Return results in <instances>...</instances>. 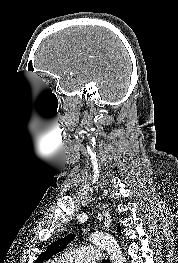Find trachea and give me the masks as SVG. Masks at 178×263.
<instances>
[{"label": "trachea", "mask_w": 178, "mask_h": 263, "mask_svg": "<svg viewBox=\"0 0 178 263\" xmlns=\"http://www.w3.org/2000/svg\"><path fill=\"white\" fill-rule=\"evenodd\" d=\"M103 263H109V260H103Z\"/></svg>", "instance_id": "3493384b"}]
</instances>
